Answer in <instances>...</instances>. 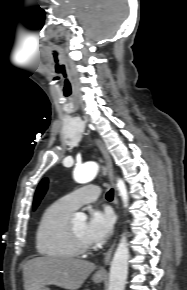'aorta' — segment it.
<instances>
[{
  "label": "aorta",
  "mask_w": 187,
  "mask_h": 290,
  "mask_svg": "<svg viewBox=\"0 0 187 290\" xmlns=\"http://www.w3.org/2000/svg\"><path fill=\"white\" fill-rule=\"evenodd\" d=\"M98 172V164L95 162H88L74 170V180L77 183L85 184L92 181L97 176ZM117 188L124 202V206H127L128 195L126 186L122 180H118ZM74 217L75 220L80 222H84L87 219V216L82 212L76 213ZM128 260V243L125 234H123L111 262L108 290H124L128 273Z\"/></svg>",
  "instance_id": "1"
}]
</instances>
